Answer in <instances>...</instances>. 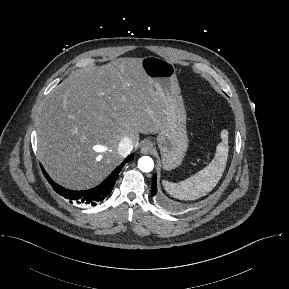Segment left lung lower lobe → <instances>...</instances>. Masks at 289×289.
<instances>
[{"label":"left lung lower lobe","mask_w":289,"mask_h":289,"mask_svg":"<svg viewBox=\"0 0 289 289\" xmlns=\"http://www.w3.org/2000/svg\"><path fill=\"white\" fill-rule=\"evenodd\" d=\"M156 182H157V177H156V174H154L153 180H152V186H151V194H152V196H155L157 194Z\"/></svg>","instance_id":"left-lung-lower-lobe-1"}]
</instances>
